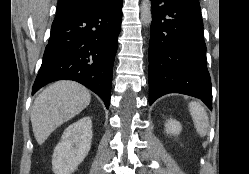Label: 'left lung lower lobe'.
Masks as SVG:
<instances>
[{"instance_id": "0a47b994", "label": "left lung lower lobe", "mask_w": 249, "mask_h": 174, "mask_svg": "<svg viewBox=\"0 0 249 174\" xmlns=\"http://www.w3.org/2000/svg\"><path fill=\"white\" fill-rule=\"evenodd\" d=\"M149 104L168 93L201 99L212 109L201 11L184 0H151Z\"/></svg>"}]
</instances>
